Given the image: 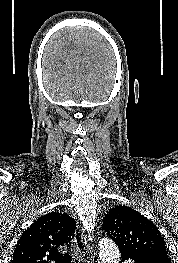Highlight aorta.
<instances>
[{
    "instance_id": "762f6f07",
    "label": "aorta",
    "mask_w": 178,
    "mask_h": 263,
    "mask_svg": "<svg viewBox=\"0 0 178 263\" xmlns=\"http://www.w3.org/2000/svg\"><path fill=\"white\" fill-rule=\"evenodd\" d=\"M100 263H119L120 252L112 240L104 238L99 241Z\"/></svg>"
}]
</instances>
